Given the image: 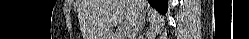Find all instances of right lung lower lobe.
I'll list each match as a JSON object with an SVG mask.
<instances>
[{
	"label": "right lung lower lobe",
	"instance_id": "1",
	"mask_svg": "<svg viewBox=\"0 0 249 39\" xmlns=\"http://www.w3.org/2000/svg\"><path fill=\"white\" fill-rule=\"evenodd\" d=\"M150 2V5L159 10L162 13H165L167 10V0H148Z\"/></svg>",
	"mask_w": 249,
	"mask_h": 39
}]
</instances>
